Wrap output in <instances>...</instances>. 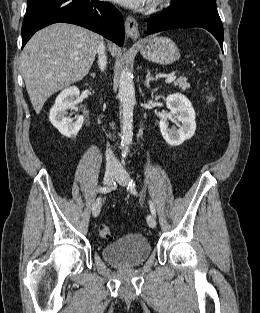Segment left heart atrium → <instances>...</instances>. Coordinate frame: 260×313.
<instances>
[{
	"instance_id": "39dd6f15",
	"label": "left heart atrium",
	"mask_w": 260,
	"mask_h": 313,
	"mask_svg": "<svg viewBox=\"0 0 260 313\" xmlns=\"http://www.w3.org/2000/svg\"><path fill=\"white\" fill-rule=\"evenodd\" d=\"M117 3L132 9H139L148 5L152 0H114Z\"/></svg>"
}]
</instances>
